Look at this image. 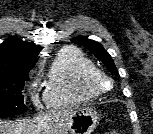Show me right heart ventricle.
I'll return each mask as SVG.
<instances>
[{"mask_svg":"<svg viewBox=\"0 0 153 134\" xmlns=\"http://www.w3.org/2000/svg\"><path fill=\"white\" fill-rule=\"evenodd\" d=\"M96 68L91 59L74 47L63 48L51 64L44 83V100L50 107L78 105L99 95L87 85V76Z\"/></svg>","mask_w":153,"mask_h":134,"instance_id":"1","label":"right heart ventricle"}]
</instances>
